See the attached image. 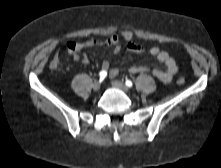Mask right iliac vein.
Wrapping results in <instances>:
<instances>
[{
    "label": "right iliac vein",
    "instance_id": "obj_1",
    "mask_svg": "<svg viewBox=\"0 0 221 168\" xmlns=\"http://www.w3.org/2000/svg\"><path fill=\"white\" fill-rule=\"evenodd\" d=\"M100 87H101V85H100V83L98 81H95L93 83V90L94 91H98L100 89Z\"/></svg>",
    "mask_w": 221,
    "mask_h": 168
}]
</instances>
